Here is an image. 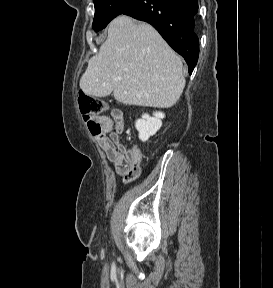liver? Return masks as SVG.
Masks as SVG:
<instances>
[{"label":"liver","instance_id":"6515ba94","mask_svg":"<svg viewBox=\"0 0 273 288\" xmlns=\"http://www.w3.org/2000/svg\"><path fill=\"white\" fill-rule=\"evenodd\" d=\"M185 87L182 60L147 23L121 15L109 25L108 38L80 79L88 96L127 105L169 108Z\"/></svg>","mask_w":273,"mask_h":288}]
</instances>
